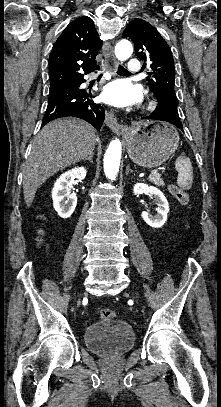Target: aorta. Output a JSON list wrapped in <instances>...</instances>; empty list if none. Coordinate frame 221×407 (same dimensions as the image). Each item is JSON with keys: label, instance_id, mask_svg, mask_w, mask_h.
Returning a JSON list of instances; mask_svg holds the SVG:
<instances>
[{"label": "aorta", "instance_id": "1", "mask_svg": "<svg viewBox=\"0 0 221 407\" xmlns=\"http://www.w3.org/2000/svg\"><path fill=\"white\" fill-rule=\"evenodd\" d=\"M133 53V47L130 41L121 40L115 47V55L118 60L128 59ZM122 145L119 139L113 140L104 155V172L108 179L114 180L119 171Z\"/></svg>", "mask_w": 221, "mask_h": 407}]
</instances>
